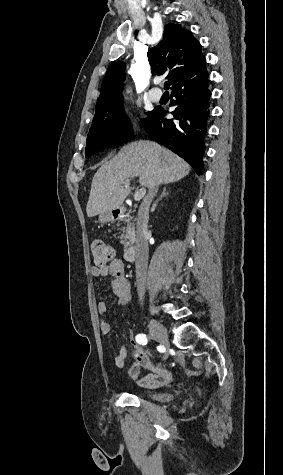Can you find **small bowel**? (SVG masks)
Returning <instances> with one entry per match:
<instances>
[{
	"label": "small bowel",
	"mask_w": 283,
	"mask_h": 475,
	"mask_svg": "<svg viewBox=\"0 0 283 475\" xmlns=\"http://www.w3.org/2000/svg\"><path fill=\"white\" fill-rule=\"evenodd\" d=\"M92 277H110L112 281V292L119 305H126L131 299V283L124 273V264L121 259L115 258L108 264H93L89 268ZM108 311L107 303L100 301L97 304V313L100 316V329L103 334H109L111 326L105 320ZM132 344L133 363L128 370V377L136 381L138 385L147 388H158L169 384L173 379V374L168 369L154 363L146 354L143 347L139 346L130 333ZM128 358V350L124 343L120 345L119 352L114 358L117 368H124ZM141 369H147L149 374L139 378Z\"/></svg>",
	"instance_id": "1"
}]
</instances>
